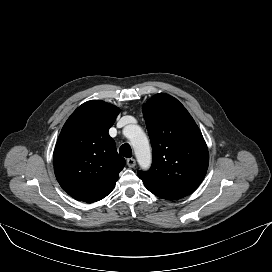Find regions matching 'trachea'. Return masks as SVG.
I'll use <instances>...</instances> for the list:
<instances>
[{
  "label": "trachea",
  "mask_w": 272,
  "mask_h": 272,
  "mask_svg": "<svg viewBox=\"0 0 272 272\" xmlns=\"http://www.w3.org/2000/svg\"><path fill=\"white\" fill-rule=\"evenodd\" d=\"M119 153H120V155H122L123 157H126V158L132 157V150H131V147L128 143L123 144L119 148Z\"/></svg>",
  "instance_id": "trachea-1"
}]
</instances>
